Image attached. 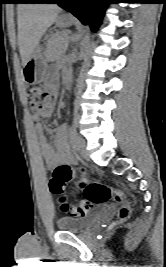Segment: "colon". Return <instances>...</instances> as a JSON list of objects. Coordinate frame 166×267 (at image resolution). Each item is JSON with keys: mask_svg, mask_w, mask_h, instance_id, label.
Segmentation results:
<instances>
[{"mask_svg": "<svg viewBox=\"0 0 166 267\" xmlns=\"http://www.w3.org/2000/svg\"><path fill=\"white\" fill-rule=\"evenodd\" d=\"M53 99L54 94L52 92H45L40 88H32L28 92V101L34 113L50 109ZM72 178L73 170L71 167L57 166L53 169V176L49 182L50 191L55 195L61 196L58 200V204L63 212L81 217L87 215L93 205L114 200L120 204L118 220L124 221L129 218L132 205L126 199L124 192L121 189L107 186L99 181H81L79 185L83 190L85 199L74 205L68 203L66 199L62 197V194L66 184L70 182Z\"/></svg>", "mask_w": 166, "mask_h": 267, "instance_id": "5ec220e1", "label": "colon"}]
</instances>
